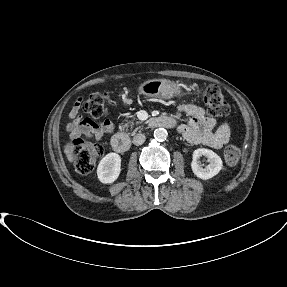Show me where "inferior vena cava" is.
I'll list each match as a JSON object with an SVG mask.
<instances>
[{"label": "inferior vena cava", "instance_id": "obj_1", "mask_svg": "<svg viewBox=\"0 0 287 287\" xmlns=\"http://www.w3.org/2000/svg\"><path fill=\"white\" fill-rule=\"evenodd\" d=\"M146 140V136L144 134H136L134 137H133V144L136 145V146H139V145H142Z\"/></svg>", "mask_w": 287, "mask_h": 287}]
</instances>
